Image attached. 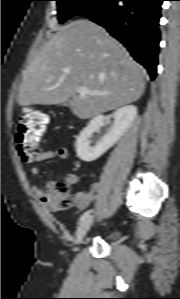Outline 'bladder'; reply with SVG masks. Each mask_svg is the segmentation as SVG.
<instances>
[{"mask_svg": "<svg viewBox=\"0 0 180 299\" xmlns=\"http://www.w3.org/2000/svg\"><path fill=\"white\" fill-rule=\"evenodd\" d=\"M106 241H115L117 238L116 232L115 230H108L105 232L104 237H103Z\"/></svg>", "mask_w": 180, "mask_h": 299, "instance_id": "obj_1", "label": "bladder"}]
</instances>
